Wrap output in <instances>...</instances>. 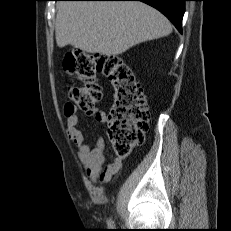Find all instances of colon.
Returning <instances> with one entry per match:
<instances>
[{"label": "colon", "instance_id": "5ec220e1", "mask_svg": "<svg viewBox=\"0 0 231 231\" xmlns=\"http://www.w3.org/2000/svg\"><path fill=\"white\" fill-rule=\"evenodd\" d=\"M65 70L74 74L82 85L69 86L72 108L92 110L101 100L96 83L103 74L113 87V101L108 116V136L115 154L123 158L144 141L150 114L145 93L132 69L120 57H99L89 53L70 52L63 60Z\"/></svg>", "mask_w": 231, "mask_h": 231}]
</instances>
